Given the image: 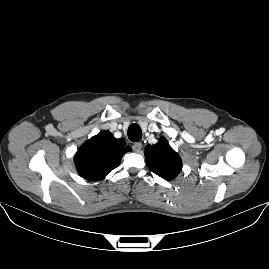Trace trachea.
Masks as SVG:
<instances>
[{
  "instance_id": "obj_1",
  "label": "trachea",
  "mask_w": 269,
  "mask_h": 269,
  "mask_svg": "<svg viewBox=\"0 0 269 269\" xmlns=\"http://www.w3.org/2000/svg\"><path fill=\"white\" fill-rule=\"evenodd\" d=\"M128 138L133 142H138L142 138V131L138 124H131L128 127Z\"/></svg>"
}]
</instances>
